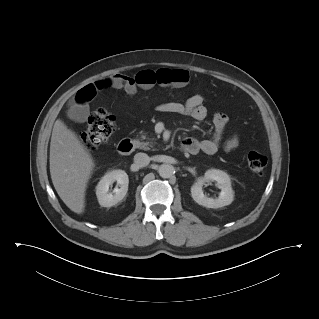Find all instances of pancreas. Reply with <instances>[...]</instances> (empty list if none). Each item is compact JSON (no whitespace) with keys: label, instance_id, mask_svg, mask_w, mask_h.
<instances>
[{"label":"pancreas","instance_id":"1","mask_svg":"<svg viewBox=\"0 0 319 319\" xmlns=\"http://www.w3.org/2000/svg\"><path fill=\"white\" fill-rule=\"evenodd\" d=\"M147 139L146 138V135H141V140H145ZM150 141H139L137 140L136 141V147L139 148V149H142V150H145V151H148V150H156L154 149V146H155V142H153L151 139H149Z\"/></svg>","mask_w":319,"mask_h":319}]
</instances>
